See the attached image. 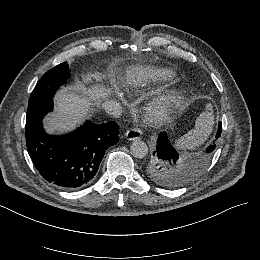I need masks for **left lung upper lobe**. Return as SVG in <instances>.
<instances>
[{
    "mask_svg": "<svg viewBox=\"0 0 260 260\" xmlns=\"http://www.w3.org/2000/svg\"><path fill=\"white\" fill-rule=\"evenodd\" d=\"M210 153L207 152L206 155L195 161L179 158L169 161L160 158L156 150H153L143 165L144 175L161 187L178 188L193 181L202 173Z\"/></svg>",
    "mask_w": 260,
    "mask_h": 260,
    "instance_id": "left-lung-upper-lobe-1",
    "label": "left lung upper lobe"
}]
</instances>
